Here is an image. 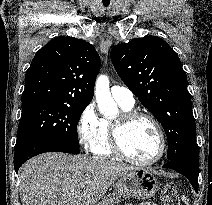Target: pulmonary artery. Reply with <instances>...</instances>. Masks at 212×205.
Segmentation results:
<instances>
[{"label":"pulmonary artery","instance_id":"pulmonary-artery-1","mask_svg":"<svg viewBox=\"0 0 212 205\" xmlns=\"http://www.w3.org/2000/svg\"><path fill=\"white\" fill-rule=\"evenodd\" d=\"M111 95L122 105L132 107L135 103L134 95L127 87L115 85L111 88Z\"/></svg>","mask_w":212,"mask_h":205}]
</instances>
